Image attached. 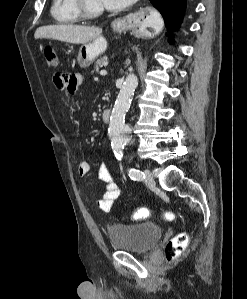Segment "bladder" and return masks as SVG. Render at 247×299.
I'll use <instances>...</instances> for the list:
<instances>
[{
  "instance_id": "obj_1",
  "label": "bladder",
  "mask_w": 247,
  "mask_h": 299,
  "mask_svg": "<svg viewBox=\"0 0 247 299\" xmlns=\"http://www.w3.org/2000/svg\"><path fill=\"white\" fill-rule=\"evenodd\" d=\"M162 234V228L151 222L115 225L108 228V237L113 248L139 254L152 250Z\"/></svg>"
}]
</instances>
